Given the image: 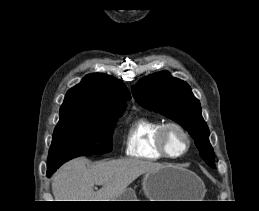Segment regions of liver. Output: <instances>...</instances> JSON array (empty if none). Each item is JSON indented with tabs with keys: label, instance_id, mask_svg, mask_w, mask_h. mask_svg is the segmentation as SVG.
Returning <instances> with one entry per match:
<instances>
[{
	"label": "liver",
	"instance_id": "liver-1",
	"mask_svg": "<svg viewBox=\"0 0 259 211\" xmlns=\"http://www.w3.org/2000/svg\"><path fill=\"white\" fill-rule=\"evenodd\" d=\"M89 163L84 157L75 158L53 175L55 201H115L140 175L163 167L135 158ZM94 185L101 188L94 191Z\"/></svg>",
	"mask_w": 259,
	"mask_h": 211
}]
</instances>
